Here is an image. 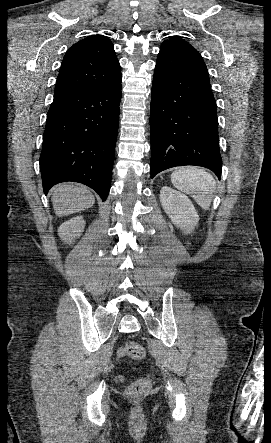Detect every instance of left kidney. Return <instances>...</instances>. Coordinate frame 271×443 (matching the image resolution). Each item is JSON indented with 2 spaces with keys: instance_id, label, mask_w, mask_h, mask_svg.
Wrapping results in <instances>:
<instances>
[{
  "instance_id": "left-kidney-1",
  "label": "left kidney",
  "mask_w": 271,
  "mask_h": 443,
  "mask_svg": "<svg viewBox=\"0 0 271 443\" xmlns=\"http://www.w3.org/2000/svg\"><path fill=\"white\" fill-rule=\"evenodd\" d=\"M160 202L173 223L179 225L186 233L194 229L199 216L187 196L163 186L160 190Z\"/></svg>"
}]
</instances>
